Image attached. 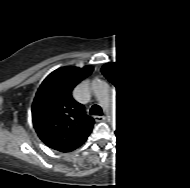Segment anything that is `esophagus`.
Returning <instances> with one entry per match:
<instances>
[{
  "label": "esophagus",
  "instance_id": "34e87169",
  "mask_svg": "<svg viewBox=\"0 0 190 188\" xmlns=\"http://www.w3.org/2000/svg\"><path fill=\"white\" fill-rule=\"evenodd\" d=\"M95 118L97 122H101L104 121L106 117L103 115V116H96Z\"/></svg>",
  "mask_w": 190,
  "mask_h": 188
}]
</instances>
